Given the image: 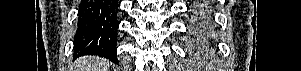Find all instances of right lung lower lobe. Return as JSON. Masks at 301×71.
<instances>
[{
  "mask_svg": "<svg viewBox=\"0 0 301 71\" xmlns=\"http://www.w3.org/2000/svg\"><path fill=\"white\" fill-rule=\"evenodd\" d=\"M119 3L116 0H82L75 37V56L98 55L117 61Z\"/></svg>",
  "mask_w": 301,
  "mask_h": 71,
  "instance_id": "right-lung-lower-lobe-1",
  "label": "right lung lower lobe"
}]
</instances>
